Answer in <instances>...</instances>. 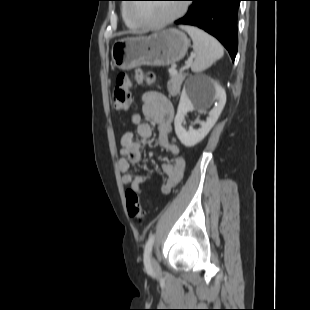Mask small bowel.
<instances>
[{"label": "small bowel", "mask_w": 310, "mask_h": 310, "mask_svg": "<svg viewBox=\"0 0 310 310\" xmlns=\"http://www.w3.org/2000/svg\"><path fill=\"white\" fill-rule=\"evenodd\" d=\"M141 103L142 112L131 115V123L136 128L137 134L142 139L150 138L152 126L143 119L147 118L154 122L158 128L159 146L174 157L173 162H164L162 164L166 180L161 186V192L168 195L182 182L186 169L185 160L181 156L179 146L169 139L174 108L172 103L157 91L145 92L141 97ZM120 145L119 169L123 173L122 182L138 194H143L142 185L146 182V176L134 175L128 172L132 164L138 163L142 159L141 144L135 139L133 133L126 132L120 138Z\"/></svg>", "instance_id": "obj_1"}]
</instances>
